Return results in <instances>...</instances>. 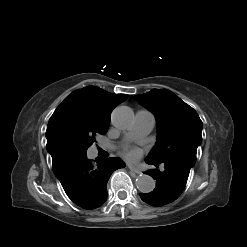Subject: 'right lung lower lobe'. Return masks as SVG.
Returning <instances> with one entry per match:
<instances>
[{"mask_svg": "<svg viewBox=\"0 0 247 247\" xmlns=\"http://www.w3.org/2000/svg\"><path fill=\"white\" fill-rule=\"evenodd\" d=\"M118 158L62 157L53 162V172L68 197L84 209L100 207L107 199V182L113 171L124 168Z\"/></svg>", "mask_w": 247, "mask_h": 247, "instance_id": "1", "label": "right lung lower lobe"}]
</instances>
